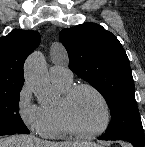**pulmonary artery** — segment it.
Returning <instances> with one entry per match:
<instances>
[{
	"label": "pulmonary artery",
	"mask_w": 145,
	"mask_h": 147,
	"mask_svg": "<svg viewBox=\"0 0 145 147\" xmlns=\"http://www.w3.org/2000/svg\"><path fill=\"white\" fill-rule=\"evenodd\" d=\"M49 76L52 80H72L73 73L65 64H54L49 69Z\"/></svg>",
	"instance_id": "1"
}]
</instances>
